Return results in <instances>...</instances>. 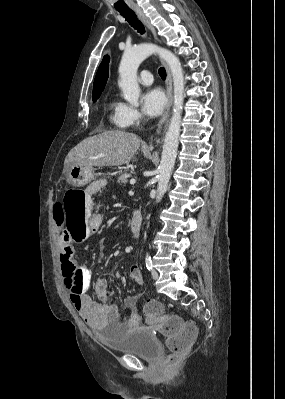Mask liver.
<instances>
[{
  "instance_id": "obj_1",
  "label": "liver",
  "mask_w": 285,
  "mask_h": 399,
  "mask_svg": "<svg viewBox=\"0 0 285 399\" xmlns=\"http://www.w3.org/2000/svg\"><path fill=\"white\" fill-rule=\"evenodd\" d=\"M134 133L121 130L104 131L77 144L66 156L64 165L112 167L127 164L140 147Z\"/></svg>"
}]
</instances>
